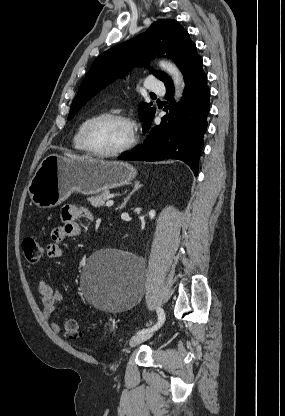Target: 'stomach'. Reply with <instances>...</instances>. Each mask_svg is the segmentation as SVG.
<instances>
[{
  "label": "stomach",
  "mask_w": 285,
  "mask_h": 416,
  "mask_svg": "<svg viewBox=\"0 0 285 416\" xmlns=\"http://www.w3.org/2000/svg\"><path fill=\"white\" fill-rule=\"evenodd\" d=\"M137 172L126 162L73 160L50 154L42 160L29 182V196L38 208H55L72 192L85 196L120 188L136 178Z\"/></svg>",
  "instance_id": "obj_1"
}]
</instances>
